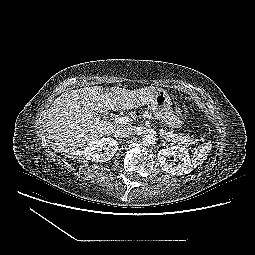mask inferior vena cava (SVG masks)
<instances>
[{
    "label": "inferior vena cava",
    "mask_w": 255,
    "mask_h": 255,
    "mask_svg": "<svg viewBox=\"0 0 255 255\" xmlns=\"http://www.w3.org/2000/svg\"><path fill=\"white\" fill-rule=\"evenodd\" d=\"M135 128L133 126H122L116 129L115 136L119 138L129 137L134 134Z\"/></svg>",
    "instance_id": "obj_1"
}]
</instances>
